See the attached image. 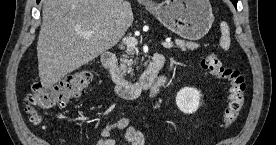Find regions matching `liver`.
<instances>
[{"label": "liver", "instance_id": "obj_1", "mask_svg": "<svg viewBox=\"0 0 276 145\" xmlns=\"http://www.w3.org/2000/svg\"><path fill=\"white\" fill-rule=\"evenodd\" d=\"M133 23L130 4L119 0H44L37 42L39 77L50 88L104 53ZM93 31L90 38L81 33Z\"/></svg>", "mask_w": 276, "mask_h": 145}]
</instances>
